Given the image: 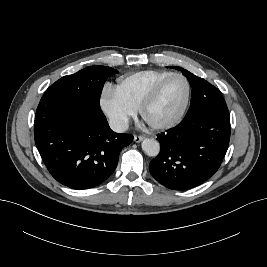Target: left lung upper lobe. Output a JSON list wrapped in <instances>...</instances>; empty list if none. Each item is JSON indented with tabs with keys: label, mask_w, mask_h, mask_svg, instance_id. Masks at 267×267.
<instances>
[{
	"label": "left lung upper lobe",
	"mask_w": 267,
	"mask_h": 267,
	"mask_svg": "<svg viewBox=\"0 0 267 267\" xmlns=\"http://www.w3.org/2000/svg\"><path fill=\"white\" fill-rule=\"evenodd\" d=\"M177 70L182 71V74L185 75L192 87V97L191 103L200 101L201 99H208L211 102V109L213 112L221 111L223 109H227V105L225 100L221 94V92L211 85L206 80L195 76L194 74L190 73L189 71L176 66H171Z\"/></svg>",
	"instance_id": "1"
}]
</instances>
